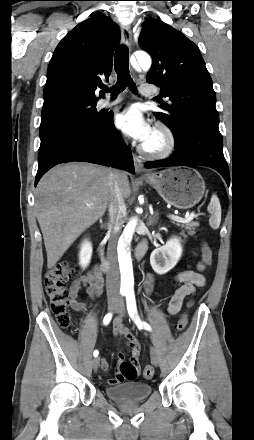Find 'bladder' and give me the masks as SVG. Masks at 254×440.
Listing matches in <instances>:
<instances>
[{
    "label": "bladder",
    "instance_id": "obj_1",
    "mask_svg": "<svg viewBox=\"0 0 254 440\" xmlns=\"http://www.w3.org/2000/svg\"><path fill=\"white\" fill-rule=\"evenodd\" d=\"M152 391V385L147 382L124 383L105 388V392L109 398L122 404H133L144 401L152 394Z\"/></svg>",
    "mask_w": 254,
    "mask_h": 440
}]
</instances>
